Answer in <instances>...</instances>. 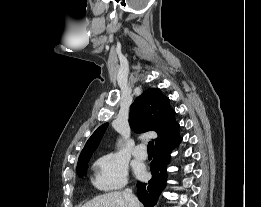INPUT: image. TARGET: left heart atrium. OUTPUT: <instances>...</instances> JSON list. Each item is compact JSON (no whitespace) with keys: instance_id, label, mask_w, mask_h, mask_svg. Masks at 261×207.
<instances>
[{"instance_id":"39dd6f15","label":"left heart atrium","mask_w":261,"mask_h":207,"mask_svg":"<svg viewBox=\"0 0 261 207\" xmlns=\"http://www.w3.org/2000/svg\"><path fill=\"white\" fill-rule=\"evenodd\" d=\"M138 174H142L143 170L141 168L137 169Z\"/></svg>"}]
</instances>
